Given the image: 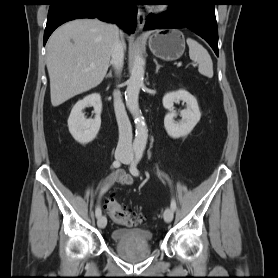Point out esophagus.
Instances as JSON below:
<instances>
[{"instance_id": "34e87169", "label": "esophagus", "mask_w": 278, "mask_h": 278, "mask_svg": "<svg viewBox=\"0 0 278 278\" xmlns=\"http://www.w3.org/2000/svg\"><path fill=\"white\" fill-rule=\"evenodd\" d=\"M145 13L142 9H138L137 11V23H138V29L142 31L145 26Z\"/></svg>"}]
</instances>
